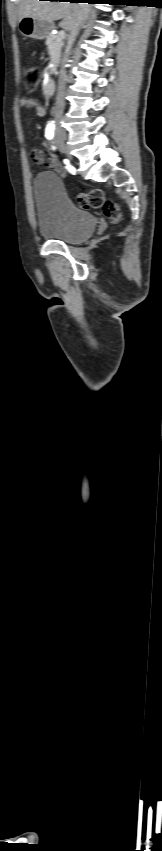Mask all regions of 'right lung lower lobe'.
Listing matches in <instances>:
<instances>
[{
    "label": "right lung lower lobe",
    "instance_id": "right-lung-lower-lobe-1",
    "mask_svg": "<svg viewBox=\"0 0 162 851\" xmlns=\"http://www.w3.org/2000/svg\"><path fill=\"white\" fill-rule=\"evenodd\" d=\"M50 1H62V0H50ZM67 1H69V2H78V3H81V2H87V3H89V4H95V3H108V4H113V2H115V0H67Z\"/></svg>",
    "mask_w": 162,
    "mask_h": 851
}]
</instances>
